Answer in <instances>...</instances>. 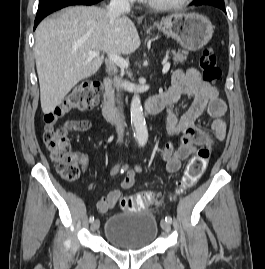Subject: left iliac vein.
Returning <instances> with one entry per match:
<instances>
[{"label": "left iliac vein", "mask_w": 265, "mask_h": 269, "mask_svg": "<svg viewBox=\"0 0 265 269\" xmlns=\"http://www.w3.org/2000/svg\"><path fill=\"white\" fill-rule=\"evenodd\" d=\"M161 227L165 232H169L171 227H170V223L167 222L166 220H162L161 221Z\"/></svg>", "instance_id": "1"}]
</instances>
